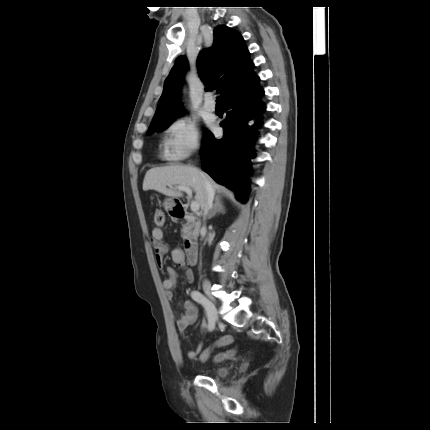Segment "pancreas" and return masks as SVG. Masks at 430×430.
I'll use <instances>...</instances> for the list:
<instances>
[{
	"instance_id": "cf45deb5",
	"label": "pancreas",
	"mask_w": 430,
	"mask_h": 430,
	"mask_svg": "<svg viewBox=\"0 0 430 430\" xmlns=\"http://www.w3.org/2000/svg\"><path fill=\"white\" fill-rule=\"evenodd\" d=\"M187 224L183 225V228L181 230L182 232V237L185 238L187 235H198V228L200 227V222H195V218L192 216H188L187 217ZM194 229L193 232H191V230Z\"/></svg>"
}]
</instances>
